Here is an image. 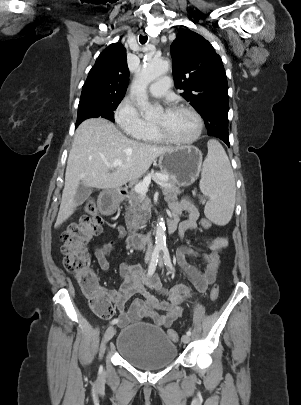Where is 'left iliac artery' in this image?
Instances as JSON below:
<instances>
[{
	"instance_id": "left-iliac-artery-1",
	"label": "left iliac artery",
	"mask_w": 301,
	"mask_h": 405,
	"mask_svg": "<svg viewBox=\"0 0 301 405\" xmlns=\"http://www.w3.org/2000/svg\"><path fill=\"white\" fill-rule=\"evenodd\" d=\"M161 249H162V252H163V258H164V261H165V265H166L167 267H169L171 270H173V266H172V262H171V258H170V254H169L168 248H167L166 246H164V247H162ZM186 334L190 336V335H191V331L188 330V331L186 332Z\"/></svg>"
}]
</instances>
